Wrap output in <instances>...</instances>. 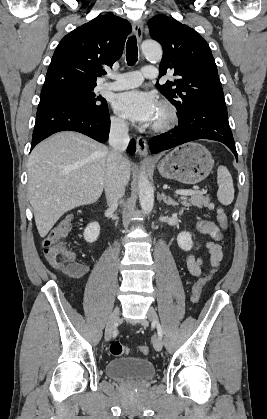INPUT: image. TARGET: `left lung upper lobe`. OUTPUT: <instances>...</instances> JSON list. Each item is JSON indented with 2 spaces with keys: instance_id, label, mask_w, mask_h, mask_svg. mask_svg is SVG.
Segmentation results:
<instances>
[{
  "instance_id": "left-lung-upper-lobe-1",
  "label": "left lung upper lobe",
  "mask_w": 267,
  "mask_h": 419,
  "mask_svg": "<svg viewBox=\"0 0 267 419\" xmlns=\"http://www.w3.org/2000/svg\"><path fill=\"white\" fill-rule=\"evenodd\" d=\"M150 35L163 47L160 77L173 71L176 80L156 87L176 107L178 119L197 108L226 107L217 67L208 43L194 29L157 15Z\"/></svg>"
}]
</instances>
